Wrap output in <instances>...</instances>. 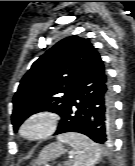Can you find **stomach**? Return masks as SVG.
I'll list each match as a JSON object with an SVG mask.
<instances>
[{
    "label": "stomach",
    "instance_id": "stomach-1",
    "mask_svg": "<svg viewBox=\"0 0 135 166\" xmlns=\"http://www.w3.org/2000/svg\"><path fill=\"white\" fill-rule=\"evenodd\" d=\"M65 152L66 149L61 143H51L44 147V149L40 152L38 158L35 161V165L46 166L48 162L55 160L56 158L65 154ZM68 166H70V164H68Z\"/></svg>",
    "mask_w": 135,
    "mask_h": 166
}]
</instances>
